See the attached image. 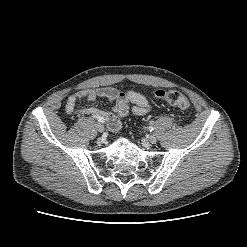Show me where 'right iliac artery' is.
I'll list each match as a JSON object with an SVG mask.
<instances>
[{"mask_svg":"<svg viewBox=\"0 0 247 247\" xmlns=\"http://www.w3.org/2000/svg\"><path fill=\"white\" fill-rule=\"evenodd\" d=\"M93 118H96L99 122L104 123V119H103V118H101V117H93Z\"/></svg>","mask_w":247,"mask_h":247,"instance_id":"right-iliac-artery-1","label":"right iliac artery"}]
</instances>
